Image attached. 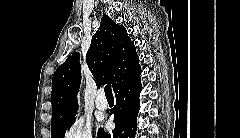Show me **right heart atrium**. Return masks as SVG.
I'll return each mask as SVG.
<instances>
[{"mask_svg":"<svg viewBox=\"0 0 240 138\" xmlns=\"http://www.w3.org/2000/svg\"><path fill=\"white\" fill-rule=\"evenodd\" d=\"M91 123L84 118L75 119L65 130L64 138H92Z\"/></svg>","mask_w":240,"mask_h":138,"instance_id":"1","label":"right heart atrium"}]
</instances>
